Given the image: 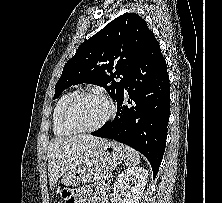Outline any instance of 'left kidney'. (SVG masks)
Wrapping results in <instances>:
<instances>
[{
  "instance_id": "1",
  "label": "left kidney",
  "mask_w": 222,
  "mask_h": 203,
  "mask_svg": "<svg viewBox=\"0 0 222 203\" xmlns=\"http://www.w3.org/2000/svg\"><path fill=\"white\" fill-rule=\"evenodd\" d=\"M148 180V171L131 167L121 172L113 185V193L122 197L121 203H139Z\"/></svg>"
}]
</instances>
